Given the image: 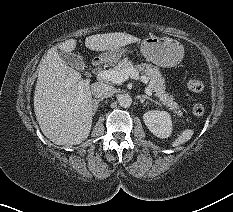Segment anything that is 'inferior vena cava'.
<instances>
[{
    "mask_svg": "<svg viewBox=\"0 0 233 212\" xmlns=\"http://www.w3.org/2000/svg\"><path fill=\"white\" fill-rule=\"evenodd\" d=\"M91 92L95 97L103 99L111 97L116 92V89L112 85L96 82L91 85Z\"/></svg>",
    "mask_w": 233,
    "mask_h": 212,
    "instance_id": "602c4592",
    "label": "inferior vena cava"
}]
</instances>
